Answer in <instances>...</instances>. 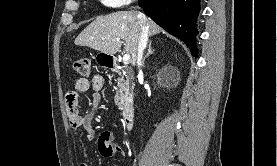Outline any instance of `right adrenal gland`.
Instances as JSON below:
<instances>
[{
    "label": "right adrenal gland",
    "mask_w": 277,
    "mask_h": 166,
    "mask_svg": "<svg viewBox=\"0 0 277 166\" xmlns=\"http://www.w3.org/2000/svg\"><path fill=\"white\" fill-rule=\"evenodd\" d=\"M151 54H153V50H152V48H151V42L149 43V48H148V52H147V54L145 55V57L143 58V65H144V63H145V60H146V58L149 56V55H151Z\"/></svg>",
    "instance_id": "1"
}]
</instances>
